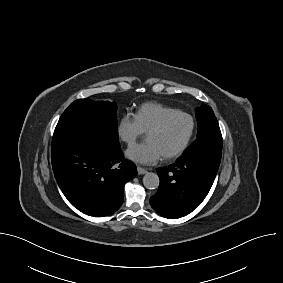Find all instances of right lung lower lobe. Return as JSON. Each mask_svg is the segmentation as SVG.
Masks as SVG:
<instances>
[{"label": "right lung lower lobe", "mask_w": 283, "mask_h": 283, "mask_svg": "<svg viewBox=\"0 0 283 283\" xmlns=\"http://www.w3.org/2000/svg\"><path fill=\"white\" fill-rule=\"evenodd\" d=\"M52 168L68 201L94 217L116 212L123 203L124 184L137 175L124 159L120 144H110L83 132L53 135Z\"/></svg>", "instance_id": "right-lung-lower-lobe-1"}]
</instances>
